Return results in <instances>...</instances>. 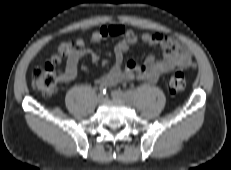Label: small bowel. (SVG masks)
<instances>
[{
    "label": "small bowel",
    "instance_id": "obj_1",
    "mask_svg": "<svg viewBox=\"0 0 231 170\" xmlns=\"http://www.w3.org/2000/svg\"><path fill=\"white\" fill-rule=\"evenodd\" d=\"M111 37H120L114 48L115 63L109 72L96 79L98 85L113 86L120 82L146 79L157 82L159 78L175 68H193L194 62L190 52L174 37L160 32H144L138 36L133 30L122 25L102 26L90 35V42L98 43ZM138 40L146 44L159 45L162 56L149 55L142 64L129 60L125 62V53ZM88 55L92 62L99 61V55L89 49L82 38L76 40L75 47L67 55L64 72L60 80H73L78 72L79 61Z\"/></svg>",
    "mask_w": 231,
    "mask_h": 170
}]
</instances>
